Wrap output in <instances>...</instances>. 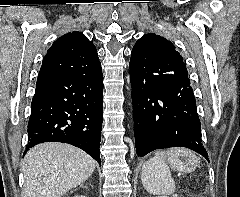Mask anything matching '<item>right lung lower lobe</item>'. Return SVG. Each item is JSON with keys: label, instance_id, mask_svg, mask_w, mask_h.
I'll use <instances>...</instances> for the list:
<instances>
[{"label": "right lung lower lobe", "instance_id": "1", "mask_svg": "<svg viewBox=\"0 0 240 197\" xmlns=\"http://www.w3.org/2000/svg\"><path fill=\"white\" fill-rule=\"evenodd\" d=\"M102 96L101 68L81 76L37 81L25 153L39 143L63 142L79 147L101 164Z\"/></svg>", "mask_w": 240, "mask_h": 197}]
</instances>
